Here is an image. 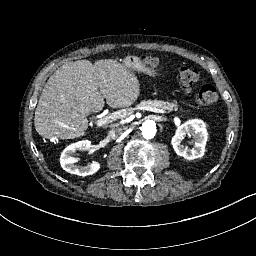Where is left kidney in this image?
<instances>
[{"label":"left kidney","instance_id":"5707ae66","mask_svg":"<svg viewBox=\"0 0 256 256\" xmlns=\"http://www.w3.org/2000/svg\"><path fill=\"white\" fill-rule=\"evenodd\" d=\"M186 135H192L194 147L188 148L181 144ZM208 139L206 124L200 119H191L180 125L171 140L174 151L177 155L187 160L201 158L205 153V146Z\"/></svg>","mask_w":256,"mask_h":256}]
</instances>
